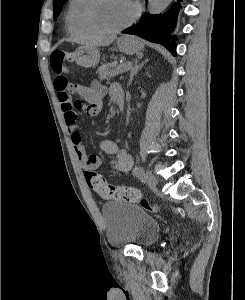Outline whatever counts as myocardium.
Wrapping results in <instances>:
<instances>
[{"label":"myocardium","mask_w":245,"mask_h":300,"mask_svg":"<svg viewBox=\"0 0 245 300\" xmlns=\"http://www.w3.org/2000/svg\"><path fill=\"white\" fill-rule=\"evenodd\" d=\"M96 2H97V0H86L85 4L81 10V21H82L83 25L94 34H99V35L117 34L121 31L125 30L126 28H128L130 25H132L139 14V8H138L137 4L134 1L130 0L131 4L133 6V14L130 17V19L126 23H124L123 25H121L119 27H116L113 29H104V28L97 26L91 18V11Z\"/></svg>","instance_id":"1"}]
</instances>
